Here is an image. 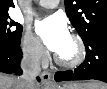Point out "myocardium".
Masks as SVG:
<instances>
[{"label": "myocardium", "instance_id": "1", "mask_svg": "<svg viewBox=\"0 0 107 89\" xmlns=\"http://www.w3.org/2000/svg\"><path fill=\"white\" fill-rule=\"evenodd\" d=\"M70 39L73 41L76 48L75 56L72 59H64L60 57L58 54L55 56L56 63L59 66L68 69L78 67L84 62L86 57V47L82 38L78 34L72 33L70 35Z\"/></svg>", "mask_w": 107, "mask_h": 89}]
</instances>
